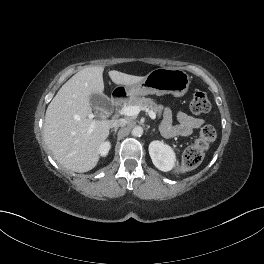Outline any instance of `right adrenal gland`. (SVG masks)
Here are the masks:
<instances>
[{
    "label": "right adrenal gland",
    "instance_id": "obj_1",
    "mask_svg": "<svg viewBox=\"0 0 264 264\" xmlns=\"http://www.w3.org/2000/svg\"><path fill=\"white\" fill-rule=\"evenodd\" d=\"M117 130H118V128H114L113 130H111V132H110V133L114 132V135H116V133H117Z\"/></svg>",
    "mask_w": 264,
    "mask_h": 264
}]
</instances>
